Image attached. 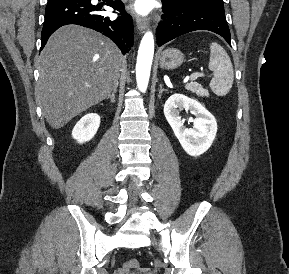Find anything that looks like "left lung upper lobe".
Segmentation results:
<instances>
[{
    "mask_svg": "<svg viewBox=\"0 0 289 274\" xmlns=\"http://www.w3.org/2000/svg\"><path fill=\"white\" fill-rule=\"evenodd\" d=\"M172 6L173 8L183 7L184 5H192L196 3H212L223 6L222 0H162Z\"/></svg>",
    "mask_w": 289,
    "mask_h": 274,
    "instance_id": "1",
    "label": "left lung upper lobe"
}]
</instances>
